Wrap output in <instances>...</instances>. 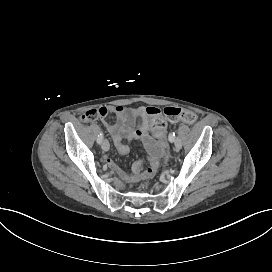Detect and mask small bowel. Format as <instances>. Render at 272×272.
Listing matches in <instances>:
<instances>
[{
    "mask_svg": "<svg viewBox=\"0 0 272 272\" xmlns=\"http://www.w3.org/2000/svg\"><path fill=\"white\" fill-rule=\"evenodd\" d=\"M146 108H128L123 106H115L111 108V112L115 114L113 123L104 122L109 135L111 136L116 150L125 155L129 152V145L124 140H139L145 151L149 155L151 165L158 163L163 155L160 144L149 134L148 127L151 123L145 118ZM185 122V121H184ZM108 169L118 174V176L127 183H136L146 177V170L143 171V162H137L132 168V172L126 173L122 171L116 163L109 157L104 159Z\"/></svg>",
    "mask_w": 272,
    "mask_h": 272,
    "instance_id": "small-bowel-1",
    "label": "small bowel"
}]
</instances>
